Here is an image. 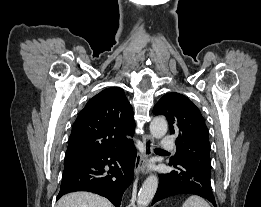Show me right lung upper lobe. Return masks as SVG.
Segmentation results:
<instances>
[{"label":"right lung upper lobe","instance_id":"cb5924a9","mask_svg":"<svg viewBox=\"0 0 261 207\" xmlns=\"http://www.w3.org/2000/svg\"><path fill=\"white\" fill-rule=\"evenodd\" d=\"M135 122L124 91L111 87L91 98L73 124L65 164L88 159L131 142Z\"/></svg>","mask_w":261,"mask_h":207}]
</instances>
